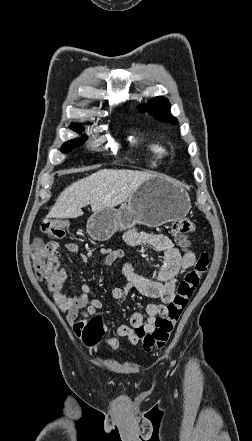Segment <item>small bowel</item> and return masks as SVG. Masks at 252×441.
I'll return each mask as SVG.
<instances>
[{
	"label": "small bowel",
	"instance_id": "obj_1",
	"mask_svg": "<svg viewBox=\"0 0 252 441\" xmlns=\"http://www.w3.org/2000/svg\"><path fill=\"white\" fill-rule=\"evenodd\" d=\"M125 241L130 245L148 244L163 252L164 255V261L154 278L137 274L130 263H125L122 272L127 279V284L112 291V300L124 299L128 292L133 289L144 296L160 300V303L148 304L145 315L138 310L134 311L129 318V325L117 322V333L120 336L127 337L132 344H137L139 340L135 333L136 329L142 327L146 332H151L156 318L166 314V307L175 295L180 275L194 265L196 255L190 249L181 252L168 236L154 231L129 230L125 234ZM65 249L70 253L78 254L84 263L89 262L94 255L93 252L80 253L79 247L75 243H66ZM97 255L104 258L106 266H111L116 260L123 257V252L100 249ZM56 258H59L58 252ZM66 281L67 273L64 269H60L58 281H48L47 286L52 293L54 303L62 312H66L68 325L79 337L88 319L94 316L97 310L103 308L104 305L100 300L90 297L91 287L87 284L81 285V293L78 295L66 293L64 291ZM80 315L82 318L78 319ZM107 344L112 349H117L119 340L109 338Z\"/></svg>",
	"mask_w": 252,
	"mask_h": 441
}]
</instances>
